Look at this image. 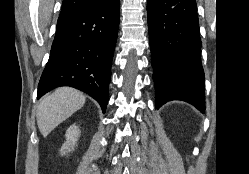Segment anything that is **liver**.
I'll use <instances>...</instances> for the list:
<instances>
[{
	"label": "liver",
	"mask_w": 249,
	"mask_h": 174,
	"mask_svg": "<svg viewBox=\"0 0 249 174\" xmlns=\"http://www.w3.org/2000/svg\"><path fill=\"white\" fill-rule=\"evenodd\" d=\"M85 100L82 92L71 87L57 88L45 96L40 101L36 113L37 125L43 137L81 109Z\"/></svg>",
	"instance_id": "obj_1"
}]
</instances>
